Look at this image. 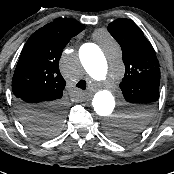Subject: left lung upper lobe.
<instances>
[{"label":"left lung upper lobe","mask_w":174,"mask_h":174,"mask_svg":"<svg viewBox=\"0 0 174 174\" xmlns=\"http://www.w3.org/2000/svg\"><path fill=\"white\" fill-rule=\"evenodd\" d=\"M108 31L122 48L125 75L120 83L129 103V133L142 130L151 120L159 98V62L150 42L132 21L120 18L110 23ZM125 140L129 134L117 127L111 132Z\"/></svg>","instance_id":"left-lung-upper-lobe-1"}]
</instances>
